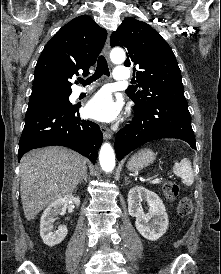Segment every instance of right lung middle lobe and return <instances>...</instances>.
<instances>
[{
  "label": "right lung middle lobe",
  "instance_id": "dd1d6c3e",
  "mask_svg": "<svg viewBox=\"0 0 221 274\" xmlns=\"http://www.w3.org/2000/svg\"><path fill=\"white\" fill-rule=\"evenodd\" d=\"M69 95L70 94H61L36 100H30L28 104V110L43 108L56 104H70Z\"/></svg>",
  "mask_w": 221,
  "mask_h": 274
}]
</instances>
